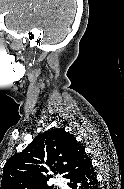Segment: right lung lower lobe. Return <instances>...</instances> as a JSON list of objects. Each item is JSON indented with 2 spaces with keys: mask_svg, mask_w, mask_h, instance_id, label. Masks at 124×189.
I'll return each mask as SVG.
<instances>
[{
  "mask_svg": "<svg viewBox=\"0 0 124 189\" xmlns=\"http://www.w3.org/2000/svg\"><path fill=\"white\" fill-rule=\"evenodd\" d=\"M68 186L72 189H100L94 168L89 162L82 170L71 175Z\"/></svg>",
  "mask_w": 124,
  "mask_h": 189,
  "instance_id": "obj_1",
  "label": "right lung lower lobe"
}]
</instances>
